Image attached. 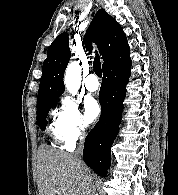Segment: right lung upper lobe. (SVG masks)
<instances>
[{
  "label": "right lung upper lobe",
  "instance_id": "obj_1",
  "mask_svg": "<svg viewBox=\"0 0 178 195\" xmlns=\"http://www.w3.org/2000/svg\"><path fill=\"white\" fill-rule=\"evenodd\" d=\"M95 42L104 61L103 73L110 72L131 63L126 35L116 20L104 9L98 10L85 36L87 50L92 52ZM69 38L67 33L60 34L47 50L43 63L37 106L41 103L57 100L65 90L64 72L70 60Z\"/></svg>",
  "mask_w": 178,
  "mask_h": 195
}]
</instances>
